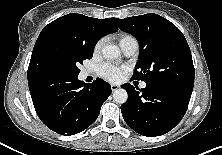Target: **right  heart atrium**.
<instances>
[{
	"label": "right heart atrium",
	"instance_id": "right-heart-atrium-1",
	"mask_svg": "<svg viewBox=\"0 0 222 155\" xmlns=\"http://www.w3.org/2000/svg\"><path fill=\"white\" fill-rule=\"evenodd\" d=\"M103 44H104V39H99V40L96 42V44L94 45V49H93V53H94L95 55H97V54L100 52Z\"/></svg>",
	"mask_w": 222,
	"mask_h": 155
}]
</instances>
